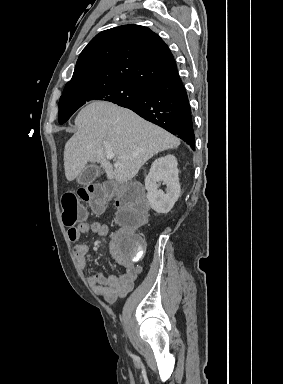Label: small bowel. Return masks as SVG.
Listing matches in <instances>:
<instances>
[{
	"instance_id": "obj_1",
	"label": "small bowel",
	"mask_w": 283,
	"mask_h": 384,
	"mask_svg": "<svg viewBox=\"0 0 283 384\" xmlns=\"http://www.w3.org/2000/svg\"><path fill=\"white\" fill-rule=\"evenodd\" d=\"M94 233L99 236H108L110 231L106 224L100 222H81L75 227L68 230L70 241L76 242L74 248L75 258L79 266L87 271L86 279L93 292L101 296L106 302L114 303L125 297L134 287V282L138 275L142 272V267L135 265L134 261H130L122 257L113 241L110 243V254L123 268L124 272L120 275H105L104 273H88L89 267L87 262L88 247L83 243H78L80 238L88 233Z\"/></svg>"
}]
</instances>
